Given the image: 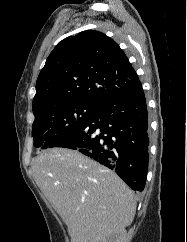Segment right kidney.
I'll return each instance as SVG.
<instances>
[{
    "mask_svg": "<svg viewBox=\"0 0 187 242\" xmlns=\"http://www.w3.org/2000/svg\"><path fill=\"white\" fill-rule=\"evenodd\" d=\"M100 242H127L126 230L122 228Z\"/></svg>",
    "mask_w": 187,
    "mask_h": 242,
    "instance_id": "1",
    "label": "right kidney"
}]
</instances>
